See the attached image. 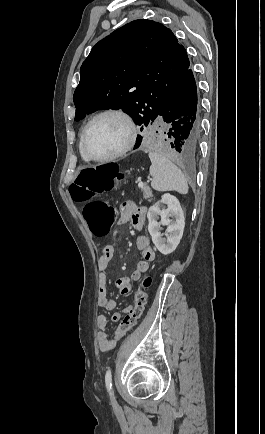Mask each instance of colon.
Listing matches in <instances>:
<instances>
[{"label": "colon", "instance_id": "5ec220e1", "mask_svg": "<svg viewBox=\"0 0 265 434\" xmlns=\"http://www.w3.org/2000/svg\"><path fill=\"white\" fill-rule=\"evenodd\" d=\"M114 164L115 161H112V164H86L85 168H80L77 173V180H73L72 184L68 185V192L75 193V202H86L82 206V214L90 231L97 237L107 236L119 217L115 204L104 199H93L95 189L110 190L112 181H116V176H121ZM144 277L141 278L143 287H149L153 278H150L148 273ZM146 300V294L139 289L136 292L135 306L130 311V318L122 319L115 331L116 341L122 339L130 329L137 325Z\"/></svg>", "mask_w": 265, "mask_h": 434}]
</instances>
